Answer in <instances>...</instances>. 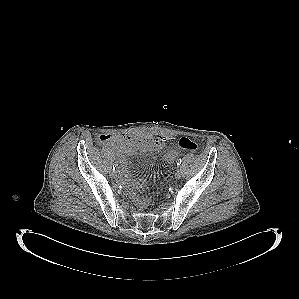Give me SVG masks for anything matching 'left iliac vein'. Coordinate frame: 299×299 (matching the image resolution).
<instances>
[{"label": "left iliac vein", "mask_w": 299, "mask_h": 299, "mask_svg": "<svg viewBox=\"0 0 299 299\" xmlns=\"http://www.w3.org/2000/svg\"><path fill=\"white\" fill-rule=\"evenodd\" d=\"M181 176H182V171H181L180 168H178V169L176 170V173H175V178H176V179H180Z\"/></svg>", "instance_id": "obj_1"}]
</instances>
